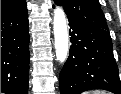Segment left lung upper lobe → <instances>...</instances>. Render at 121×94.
I'll list each match as a JSON object with an SVG mask.
<instances>
[{
	"label": "left lung upper lobe",
	"instance_id": "5c2ea615",
	"mask_svg": "<svg viewBox=\"0 0 121 94\" xmlns=\"http://www.w3.org/2000/svg\"><path fill=\"white\" fill-rule=\"evenodd\" d=\"M64 8L67 17L86 22L90 25L108 29L105 16L98 0H54Z\"/></svg>",
	"mask_w": 121,
	"mask_h": 94
}]
</instances>
